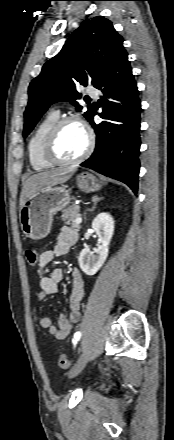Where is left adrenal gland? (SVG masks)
Segmentation results:
<instances>
[{"mask_svg":"<svg viewBox=\"0 0 174 440\" xmlns=\"http://www.w3.org/2000/svg\"><path fill=\"white\" fill-rule=\"evenodd\" d=\"M102 199H103V197H98L97 195L93 196L92 197L93 206H92L91 209H89V211H94V209L96 208L98 202L101 201Z\"/></svg>","mask_w":174,"mask_h":440,"instance_id":"obj_1","label":"left adrenal gland"}]
</instances>
